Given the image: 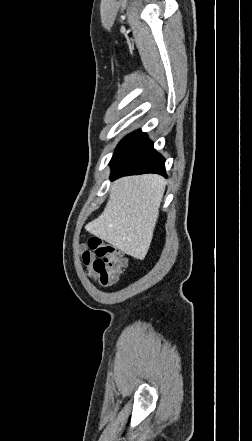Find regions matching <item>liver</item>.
<instances>
[{
    "label": "liver",
    "instance_id": "obj_1",
    "mask_svg": "<svg viewBox=\"0 0 252 441\" xmlns=\"http://www.w3.org/2000/svg\"><path fill=\"white\" fill-rule=\"evenodd\" d=\"M166 181L157 174L116 180L102 214L86 230L125 254L142 260L149 250Z\"/></svg>",
    "mask_w": 252,
    "mask_h": 441
}]
</instances>
